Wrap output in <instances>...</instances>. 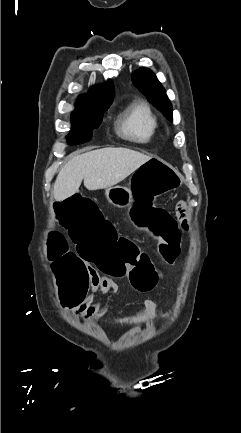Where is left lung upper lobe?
Returning <instances> with one entry per match:
<instances>
[{
  "label": "left lung upper lobe",
  "instance_id": "left-lung-upper-lobe-1",
  "mask_svg": "<svg viewBox=\"0 0 241 433\" xmlns=\"http://www.w3.org/2000/svg\"><path fill=\"white\" fill-rule=\"evenodd\" d=\"M132 80L151 103L162 111L169 120L173 119L172 104L166 95L165 89L151 70L141 68L135 71L132 74Z\"/></svg>",
  "mask_w": 241,
  "mask_h": 433
}]
</instances>
